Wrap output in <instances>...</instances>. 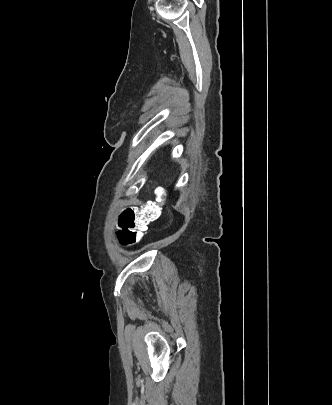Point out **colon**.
Wrapping results in <instances>:
<instances>
[{
	"label": "colon",
	"mask_w": 332,
	"mask_h": 405,
	"mask_svg": "<svg viewBox=\"0 0 332 405\" xmlns=\"http://www.w3.org/2000/svg\"><path fill=\"white\" fill-rule=\"evenodd\" d=\"M163 196V191L159 189L155 201H149L140 208H127L123 211L120 219L123 245L132 246L144 238L147 225L159 216Z\"/></svg>",
	"instance_id": "colon-1"
}]
</instances>
